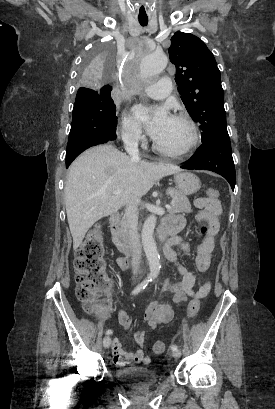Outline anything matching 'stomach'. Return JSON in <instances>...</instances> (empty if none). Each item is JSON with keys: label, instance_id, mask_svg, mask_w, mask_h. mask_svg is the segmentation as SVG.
<instances>
[{"label": "stomach", "instance_id": "0dacf381", "mask_svg": "<svg viewBox=\"0 0 275 409\" xmlns=\"http://www.w3.org/2000/svg\"><path fill=\"white\" fill-rule=\"evenodd\" d=\"M177 190L183 194H193L201 186L200 178L193 172H177L174 176Z\"/></svg>", "mask_w": 275, "mask_h": 409}]
</instances>
